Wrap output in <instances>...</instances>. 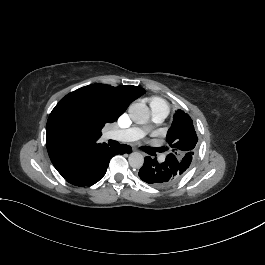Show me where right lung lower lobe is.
<instances>
[{
    "instance_id": "98d812e1",
    "label": "right lung lower lobe",
    "mask_w": 265,
    "mask_h": 265,
    "mask_svg": "<svg viewBox=\"0 0 265 265\" xmlns=\"http://www.w3.org/2000/svg\"><path fill=\"white\" fill-rule=\"evenodd\" d=\"M132 148L122 144L119 148L102 145L78 158L66 171L60 173L76 186H91L106 173L110 159L117 154L131 153Z\"/></svg>"
}]
</instances>
